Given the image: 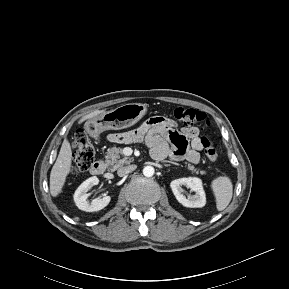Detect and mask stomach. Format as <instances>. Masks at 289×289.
<instances>
[{
    "label": "stomach",
    "instance_id": "0dacf381",
    "mask_svg": "<svg viewBox=\"0 0 289 289\" xmlns=\"http://www.w3.org/2000/svg\"><path fill=\"white\" fill-rule=\"evenodd\" d=\"M147 113V105L129 103L88 120L87 132L95 137L105 130H121L136 124Z\"/></svg>",
    "mask_w": 289,
    "mask_h": 289
}]
</instances>
